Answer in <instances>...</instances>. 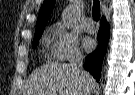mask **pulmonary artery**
<instances>
[{
    "label": "pulmonary artery",
    "instance_id": "obj_1",
    "mask_svg": "<svg viewBox=\"0 0 135 95\" xmlns=\"http://www.w3.org/2000/svg\"><path fill=\"white\" fill-rule=\"evenodd\" d=\"M84 30L88 33H92L95 31V26L91 18H87L84 23Z\"/></svg>",
    "mask_w": 135,
    "mask_h": 95
}]
</instances>
